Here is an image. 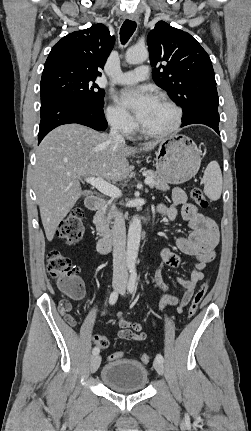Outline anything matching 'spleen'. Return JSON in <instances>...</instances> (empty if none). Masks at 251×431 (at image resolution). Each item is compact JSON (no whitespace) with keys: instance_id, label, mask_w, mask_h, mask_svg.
Masks as SVG:
<instances>
[{"instance_id":"obj_1","label":"spleen","mask_w":251,"mask_h":431,"mask_svg":"<svg viewBox=\"0 0 251 431\" xmlns=\"http://www.w3.org/2000/svg\"><path fill=\"white\" fill-rule=\"evenodd\" d=\"M204 193L213 201L220 198L222 192V173L217 161H211L204 172L203 176Z\"/></svg>"}]
</instances>
